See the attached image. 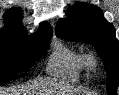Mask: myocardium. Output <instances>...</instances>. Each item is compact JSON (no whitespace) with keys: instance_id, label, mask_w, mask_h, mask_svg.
<instances>
[{"instance_id":"myocardium-1","label":"myocardium","mask_w":119,"mask_h":95,"mask_svg":"<svg viewBox=\"0 0 119 95\" xmlns=\"http://www.w3.org/2000/svg\"><path fill=\"white\" fill-rule=\"evenodd\" d=\"M84 62L89 69H95L98 65V60L92 53H87L84 55Z\"/></svg>"}]
</instances>
